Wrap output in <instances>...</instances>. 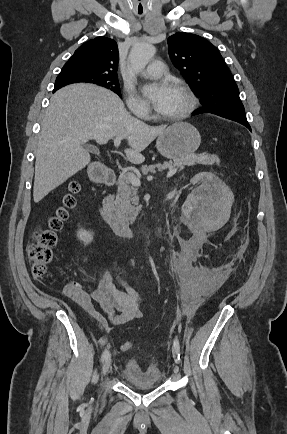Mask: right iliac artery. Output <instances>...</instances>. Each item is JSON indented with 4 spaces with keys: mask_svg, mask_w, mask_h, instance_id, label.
I'll return each instance as SVG.
<instances>
[{
    "mask_svg": "<svg viewBox=\"0 0 287 434\" xmlns=\"http://www.w3.org/2000/svg\"><path fill=\"white\" fill-rule=\"evenodd\" d=\"M109 356V351L105 349L101 355V361L103 362Z\"/></svg>",
    "mask_w": 287,
    "mask_h": 434,
    "instance_id": "right-iliac-artery-1",
    "label": "right iliac artery"
}]
</instances>
